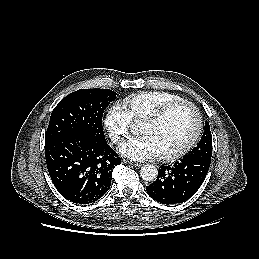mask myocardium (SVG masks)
<instances>
[{
	"mask_svg": "<svg viewBox=\"0 0 259 259\" xmlns=\"http://www.w3.org/2000/svg\"><path fill=\"white\" fill-rule=\"evenodd\" d=\"M180 106H187L191 108L196 116V128L193 133V135L190 137V139L178 150L166 153V154H161L158 155V159L162 161H174L176 159H179L183 157L186 153L190 151V149L196 144L198 141L202 129H203V118L200 110L198 107L193 104L192 102H189L187 100H180V101H175L172 103H169L154 113L150 114L146 118L142 120V123H147V124H155L159 121H161L163 118H165L170 112H172L174 109L180 107Z\"/></svg>",
	"mask_w": 259,
	"mask_h": 259,
	"instance_id": "1",
	"label": "myocardium"
}]
</instances>
